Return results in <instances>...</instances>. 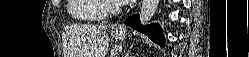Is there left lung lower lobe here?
I'll return each instance as SVG.
<instances>
[{
    "instance_id": "left-lung-lower-lobe-1",
    "label": "left lung lower lobe",
    "mask_w": 249,
    "mask_h": 57,
    "mask_svg": "<svg viewBox=\"0 0 249 57\" xmlns=\"http://www.w3.org/2000/svg\"><path fill=\"white\" fill-rule=\"evenodd\" d=\"M125 24L146 34L153 42L159 44L160 46H165V39L162 33V29L159 27V25H142L138 14H135L130 18L126 19Z\"/></svg>"
}]
</instances>
